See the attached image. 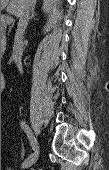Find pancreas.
<instances>
[{
	"label": "pancreas",
	"instance_id": "pancreas-1",
	"mask_svg": "<svg viewBox=\"0 0 109 170\" xmlns=\"http://www.w3.org/2000/svg\"><path fill=\"white\" fill-rule=\"evenodd\" d=\"M6 25L4 24H1V41H2V44L5 45V40H6Z\"/></svg>",
	"mask_w": 109,
	"mask_h": 170
}]
</instances>
